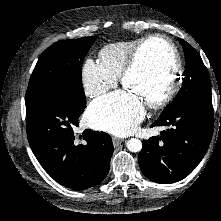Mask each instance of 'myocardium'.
<instances>
[{
    "label": "myocardium",
    "instance_id": "obj_1",
    "mask_svg": "<svg viewBox=\"0 0 221 221\" xmlns=\"http://www.w3.org/2000/svg\"><path fill=\"white\" fill-rule=\"evenodd\" d=\"M153 41H162L166 43V45L168 46L171 52L172 59H173V69L169 76V81L165 90L162 93L158 94L153 101L146 104V106L150 109H159L163 107L164 105H166L169 102V100L172 98V96L174 95L176 88H177V83H178V79L180 76L181 65H182L181 57L179 55L177 47L175 43L169 37L162 35V34H155V35L143 37L130 52L127 64L125 65L120 75V83L123 87H125V83H126L128 76L137 66L138 59H139L142 49Z\"/></svg>",
    "mask_w": 221,
    "mask_h": 221
}]
</instances>
